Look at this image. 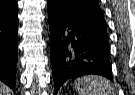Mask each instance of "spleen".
I'll return each instance as SVG.
<instances>
[{"instance_id": "1", "label": "spleen", "mask_w": 135, "mask_h": 95, "mask_svg": "<svg viewBox=\"0 0 135 95\" xmlns=\"http://www.w3.org/2000/svg\"><path fill=\"white\" fill-rule=\"evenodd\" d=\"M79 95H115L109 80L101 76H83L75 80Z\"/></svg>"}]
</instances>
